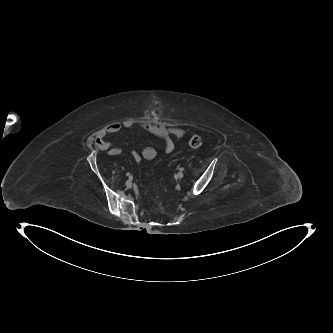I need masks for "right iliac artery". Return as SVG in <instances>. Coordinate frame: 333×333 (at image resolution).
Listing matches in <instances>:
<instances>
[{"instance_id": "right-iliac-artery-1", "label": "right iliac artery", "mask_w": 333, "mask_h": 333, "mask_svg": "<svg viewBox=\"0 0 333 333\" xmlns=\"http://www.w3.org/2000/svg\"><path fill=\"white\" fill-rule=\"evenodd\" d=\"M126 175H127L128 177H131V173H127Z\"/></svg>"}]
</instances>
